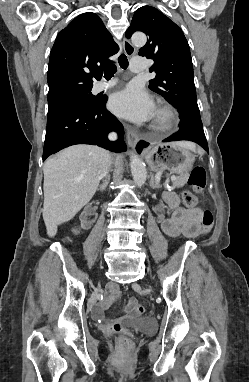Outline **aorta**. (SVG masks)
Instances as JSON below:
<instances>
[{"label":"aorta","instance_id":"obj_1","mask_svg":"<svg viewBox=\"0 0 249 382\" xmlns=\"http://www.w3.org/2000/svg\"><path fill=\"white\" fill-rule=\"evenodd\" d=\"M131 39L132 42L138 46L144 45L147 41V37L143 33H135ZM130 168L134 182L138 186H142L146 182L147 170L141 159L133 153L130 156Z\"/></svg>","mask_w":249,"mask_h":382}]
</instances>
